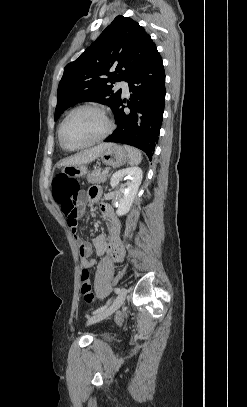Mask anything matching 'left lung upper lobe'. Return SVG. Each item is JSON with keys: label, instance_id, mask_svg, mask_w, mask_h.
Wrapping results in <instances>:
<instances>
[{"label": "left lung upper lobe", "instance_id": "obj_1", "mask_svg": "<svg viewBox=\"0 0 247 407\" xmlns=\"http://www.w3.org/2000/svg\"><path fill=\"white\" fill-rule=\"evenodd\" d=\"M155 49L142 26L130 17L117 16L78 59L65 67L57 91L55 120L82 101L100 102L114 110L121 100V89L113 91L112 84L128 82Z\"/></svg>", "mask_w": 247, "mask_h": 407}]
</instances>
